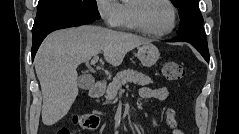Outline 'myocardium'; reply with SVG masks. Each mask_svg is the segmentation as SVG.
I'll return each mask as SVG.
<instances>
[{
    "label": "myocardium",
    "mask_w": 239,
    "mask_h": 134,
    "mask_svg": "<svg viewBox=\"0 0 239 134\" xmlns=\"http://www.w3.org/2000/svg\"><path fill=\"white\" fill-rule=\"evenodd\" d=\"M150 1L152 0H134L131 7V16L136 29H138L144 34L154 37H163L170 34L176 28L177 25V12L173 3L169 0H159L164 2L169 7L172 14V21L171 25L166 30L153 31L146 26L143 19V10Z\"/></svg>",
    "instance_id": "myocardium-1"
}]
</instances>
